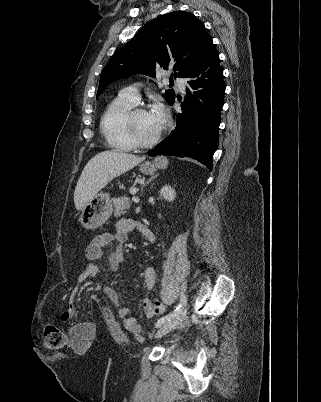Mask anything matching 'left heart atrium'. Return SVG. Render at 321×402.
Segmentation results:
<instances>
[{"label": "left heart atrium", "instance_id": "39dd6f15", "mask_svg": "<svg viewBox=\"0 0 321 402\" xmlns=\"http://www.w3.org/2000/svg\"><path fill=\"white\" fill-rule=\"evenodd\" d=\"M148 113L157 122L163 123L165 121V111L161 104H155Z\"/></svg>", "mask_w": 321, "mask_h": 402}]
</instances>
